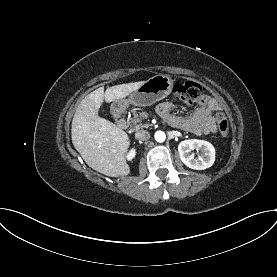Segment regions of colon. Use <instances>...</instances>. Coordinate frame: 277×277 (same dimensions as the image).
<instances>
[{
	"instance_id": "obj_1",
	"label": "colon",
	"mask_w": 277,
	"mask_h": 277,
	"mask_svg": "<svg viewBox=\"0 0 277 277\" xmlns=\"http://www.w3.org/2000/svg\"><path fill=\"white\" fill-rule=\"evenodd\" d=\"M174 97L184 105H192L202 98V88L192 81L177 82L173 88ZM217 124L221 135L228 134V121L222 112L216 114Z\"/></svg>"
}]
</instances>
